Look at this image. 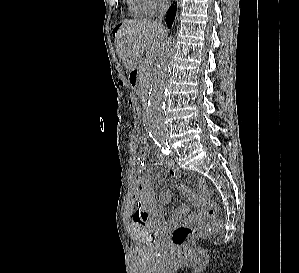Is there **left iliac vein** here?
<instances>
[{
  "label": "left iliac vein",
  "mask_w": 299,
  "mask_h": 273,
  "mask_svg": "<svg viewBox=\"0 0 299 273\" xmlns=\"http://www.w3.org/2000/svg\"><path fill=\"white\" fill-rule=\"evenodd\" d=\"M172 154L175 156V155H176V151H175V150H172Z\"/></svg>",
  "instance_id": "left-iliac-vein-1"
}]
</instances>
